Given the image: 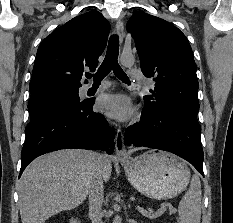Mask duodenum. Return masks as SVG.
<instances>
[{
	"label": "duodenum",
	"mask_w": 233,
	"mask_h": 223,
	"mask_svg": "<svg viewBox=\"0 0 233 223\" xmlns=\"http://www.w3.org/2000/svg\"><path fill=\"white\" fill-rule=\"evenodd\" d=\"M70 223H80V221L77 218H72Z\"/></svg>",
	"instance_id": "1"
}]
</instances>
